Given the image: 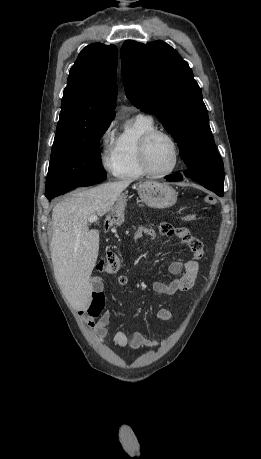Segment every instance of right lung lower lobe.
<instances>
[{
    "instance_id": "obj_1",
    "label": "right lung lower lobe",
    "mask_w": 261,
    "mask_h": 459,
    "mask_svg": "<svg viewBox=\"0 0 261 459\" xmlns=\"http://www.w3.org/2000/svg\"><path fill=\"white\" fill-rule=\"evenodd\" d=\"M96 183H100V182H96ZM96 183H93V184H96ZM92 183L91 184H85V185H81V186H89V185H93ZM80 187V186H79ZM54 197H50L48 198V200H52Z\"/></svg>"
}]
</instances>
